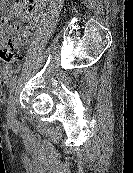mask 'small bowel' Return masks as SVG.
<instances>
[{"mask_svg":"<svg viewBox=\"0 0 133 173\" xmlns=\"http://www.w3.org/2000/svg\"><path fill=\"white\" fill-rule=\"evenodd\" d=\"M48 1L49 0H21L20 2L15 4L5 16L1 17L0 47H5L9 43V40L5 35V24L9 21L11 17L17 16H22L24 18V21L26 22V27L20 33L17 26H12L7 29V32L8 34L13 36L20 33L19 35L23 37V45L25 40L29 37V35L32 33L35 26L37 25L38 21L40 20L43 14L44 7L48 3Z\"/></svg>","mask_w":133,"mask_h":173,"instance_id":"1","label":"small bowel"}]
</instances>
